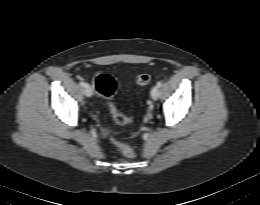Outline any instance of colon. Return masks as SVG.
I'll use <instances>...</instances> for the list:
<instances>
[{
  "label": "colon",
  "instance_id": "5ec220e1",
  "mask_svg": "<svg viewBox=\"0 0 260 205\" xmlns=\"http://www.w3.org/2000/svg\"><path fill=\"white\" fill-rule=\"evenodd\" d=\"M150 80L151 76L148 73H141L135 79L138 85H146ZM95 88L97 93L103 98L109 112L117 124L124 125L132 122L133 118L122 114L114 102L113 96L117 88V83L112 76L105 73L98 74L95 79ZM114 142L126 157L133 158L135 156L133 149L129 145L115 139Z\"/></svg>",
  "mask_w": 260,
  "mask_h": 205
}]
</instances>
